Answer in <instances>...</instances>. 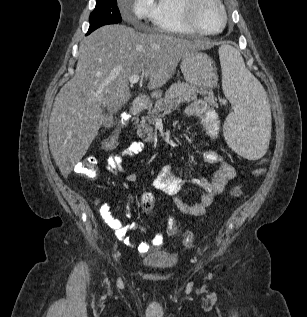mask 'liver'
<instances>
[{"label": "liver", "instance_id": "6515ba94", "mask_svg": "<svg viewBox=\"0 0 307 317\" xmlns=\"http://www.w3.org/2000/svg\"><path fill=\"white\" fill-rule=\"evenodd\" d=\"M212 46L125 25L101 27L84 39L75 75L57 94L49 121V148L62 175L68 176L98 134L101 106L113 113L129 101L131 76L142 74L149 89L161 88L186 53Z\"/></svg>", "mask_w": 307, "mask_h": 317}]
</instances>
